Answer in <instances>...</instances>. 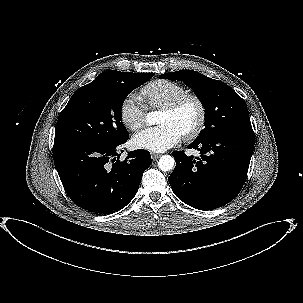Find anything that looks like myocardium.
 <instances>
[{"label": "myocardium", "mask_w": 303, "mask_h": 303, "mask_svg": "<svg viewBox=\"0 0 303 303\" xmlns=\"http://www.w3.org/2000/svg\"><path fill=\"white\" fill-rule=\"evenodd\" d=\"M187 101H192L197 106L198 118H197V121H196V124L194 125V127L192 129H190L189 131L185 132L182 136L186 140H193L196 137H198L199 134L202 132V130L204 129V126H205V122H206V107H205L203 101L197 95L186 93V94L178 97L177 99H175L168 105L162 107V111L168 112V113H174V112L178 111L181 108V106L184 103H186Z\"/></svg>", "instance_id": "f54148a6"}]
</instances>
